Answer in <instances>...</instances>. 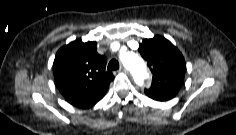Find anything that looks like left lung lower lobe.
Wrapping results in <instances>:
<instances>
[{
	"mask_svg": "<svg viewBox=\"0 0 236 135\" xmlns=\"http://www.w3.org/2000/svg\"><path fill=\"white\" fill-rule=\"evenodd\" d=\"M176 94L177 92L146 93L148 97L157 101H167L172 99Z\"/></svg>",
	"mask_w": 236,
	"mask_h": 135,
	"instance_id": "1",
	"label": "left lung lower lobe"
}]
</instances>
